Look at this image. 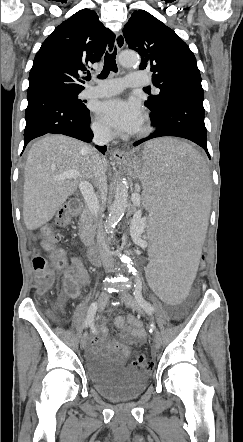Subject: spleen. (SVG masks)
<instances>
[{"label":"spleen","mask_w":243,"mask_h":442,"mask_svg":"<svg viewBox=\"0 0 243 442\" xmlns=\"http://www.w3.org/2000/svg\"><path fill=\"white\" fill-rule=\"evenodd\" d=\"M139 160L136 177L148 214V291L164 307H183L208 225V171L192 146L175 139L148 142Z\"/></svg>","instance_id":"3e777b00"}]
</instances>
